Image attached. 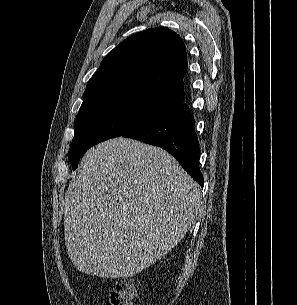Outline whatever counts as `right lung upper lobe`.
Returning <instances> with one entry per match:
<instances>
[{"mask_svg": "<svg viewBox=\"0 0 297 305\" xmlns=\"http://www.w3.org/2000/svg\"><path fill=\"white\" fill-rule=\"evenodd\" d=\"M186 48L165 27L135 34L110 51L89 80L80 108L117 96H147L173 105L184 101Z\"/></svg>", "mask_w": 297, "mask_h": 305, "instance_id": "right-lung-upper-lobe-1", "label": "right lung upper lobe"}]
</instances>
